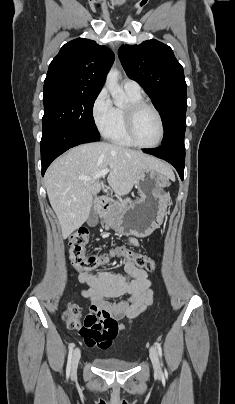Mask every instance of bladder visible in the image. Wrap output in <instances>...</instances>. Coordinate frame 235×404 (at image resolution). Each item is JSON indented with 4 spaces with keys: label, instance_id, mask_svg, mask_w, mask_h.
<instances>
[{
    "label": "bladder",
    "instance_id": "31cf9c89",
    "mask_svg": "<svg viewBox=\"0 0 235 404\" xmlns=\"http://www.w3.org/2000/svg\"><path fill=\"white\" fill-rule=\"evenodd\" d=\"M93 363L104 370L108 371H127L134 366L133 362L121 361L112 357H97Z\"/></svg>",
    "mask_w": 235,
    "mask_h": 404
}]
</instances>
